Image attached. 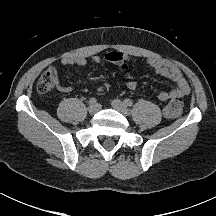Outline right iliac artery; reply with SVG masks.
Returning a JSON list of instances; mask_svg holds the SVG:
<instances>
[{
	"instance_id": "obj_1",
	"label": "right iliac artery",
	"mask_w": 216,
	"mask_h": 216,
	"mask_svg": "<svg viewBox=\"0 0 216 216\" xmlns=\"http://www.w3.org/2000/svg\"><path fill=\"white\" fill-rule=\"evenodd\" d=\"M89 103L96 104V99L94 97L90 98Z\"/></svg>"
}]
</instances>
